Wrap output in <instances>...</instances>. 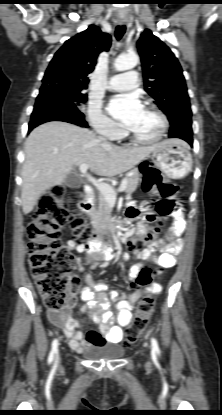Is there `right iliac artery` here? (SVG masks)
<instances>
[{
	"instance_id": "right-iliac-artery-1",
	"label": "right iliac artery",
	"mask_w": 222,
	"mask_h": 415,
	"mask_svg": "<svg viewBox=\"0 0 222 415\" xmlns=\"http://www.w3.org/2000/svg\"><path fill=\"white\" fill-rule=\"evenodd\" d=\"M58 353V340L54 339L52 342V349L48 357V362L51 363Z\"/></svg>"
}]
</instances>
